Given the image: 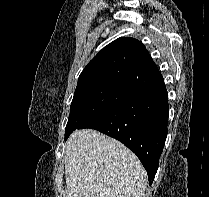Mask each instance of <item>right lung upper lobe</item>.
<instances>
[{"instance_id": "1", "label": "right lung upper lobe", "mask_w": 209, "mask_h": 197, "mask_svg": "<svg viewBox=\"0 0 209 197\" xmlns=\"http://www.w3.org/2000/svg\"><path fill=\"white\" fill-rule=\"evenodd\" d=\"M162 80L145 46L137 39L120 37L87 64L78 82L114 81L140 91Z\"/></svg>"}]
</instances>
